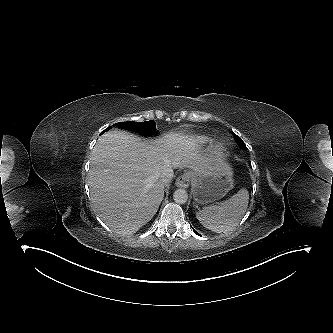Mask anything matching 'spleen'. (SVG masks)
<instances>
[{"label":"spleen","mask_w":333,"mask_h":333,"mask_svg":"<svg viewBox=\"0 0 333 333\" xmlns=\"http://www.w3.org/2000/svg\"><path fill=\"white\" fill-rule=\"evenodd\" d=\"M249 193L240 189L235 195L218 205H209L196 212V218L207 229L216 232L232 231L244 216Z\"/></svg>","instance_id":"obj_1"}]
</instances>
